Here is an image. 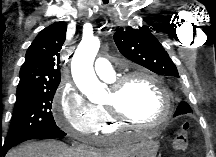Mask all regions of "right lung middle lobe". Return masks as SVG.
Here are the masks:
<instances>
[{
	"label": "right lung middle lobe",
	"mask_w": 216,
	"mask_h": 157,
	"mask_svg": "<svg viewBox=\"0 0 216 157\" xmlns=\"http://www.w3.org/2000/svg\"><path fill=\"white\" fill-rule=\"evenodd\" d=\"M56 89L30 91L16 97L9 132L3 145L16 143L32 134L59 130L51 111Z\"/></svg>",
	"instance_id": "obj_1"
}]
</instances>
